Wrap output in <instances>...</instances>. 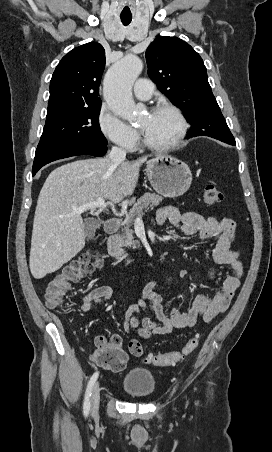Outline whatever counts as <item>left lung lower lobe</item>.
<instances>
[{
  "label": "left lung lower lobe",
  "instance_id": "left-lung-lower-lobe-1",
  "mask_svg": "<svg viewBox=\"0 0 272 452\" xmlns=\"http://www.w3.org/2000/svg\"><path fill=\"white\" fill-rule=\"evenodd\" d=\"M195 136H201L198 133H188L186 138H191V137H195ZM218 140H221L225 143L231 144V145H236L235 140L234 139H228V138H219Z\"/></svg>",
  "mask_w": 272,
  "mask_h": 452
}]
</instances>
